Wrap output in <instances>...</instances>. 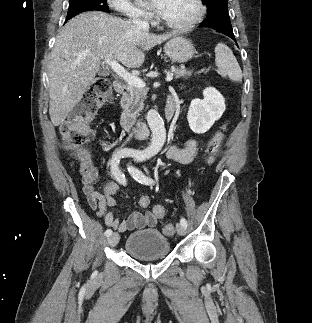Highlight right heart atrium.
<instances>
[{
    "label": "right heart atrium",
    "instance_id": "1",
    "mask_svg": "<svg viewBox=\"0 0 312 323\" xmlns=\"http://www.w3.org/2000/svg\"><path fill=\"white\" fill-rule=\"evenodd\" d=\"M105 5H109L112 13H122V17H150V10H141V6H136V2L105 0Z\"/></svg>",
    "mask_w": 312,
    "mask_h": 323
}]
</instances>
